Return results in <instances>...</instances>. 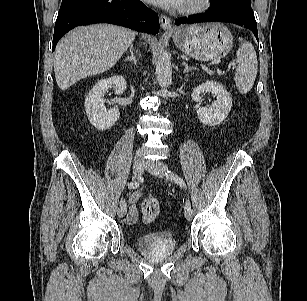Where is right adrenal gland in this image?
Masks as SVG:
<instances>
[{
	"instance_id": "right-adrenal-gland-1",
	"label": "right adrenal gland",
	"mask_w": 307,
	"mask_h": 301,
	"mask_svg": "<svg viewBox=\"0 0 307 301\" xmlns=\"http://www.w3.org/2000/svg\"><path fill=\"white\" fill-rule=\"evenodd\" d=\"M129 50H130V56H127L125 58V61L133 62V64L136 66L137 65V58H136L134 50H133V45H130Z\"/></svg>"
}]
</instances>
